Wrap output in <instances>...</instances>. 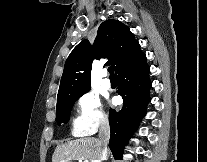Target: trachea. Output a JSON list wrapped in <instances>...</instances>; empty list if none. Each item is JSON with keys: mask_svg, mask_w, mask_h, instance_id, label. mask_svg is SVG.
I'll return each instance as SVG.
<instances>
[{"mask_svg": "<svg viewBox=\"0 0 207 162\" xmlns=\"http://www.w3.org/2000/svg\"><path fill=\"white\" fill-rule=\"evenodd\" d=\"M108 72L110 73V79H115V76L113 74V68L112 67H109L108 68Z\"/></svg>", "mask_w": 207, "mask_h": 162, "instance_id": "trachea-1", "label": "trachea"}]
</instances>
